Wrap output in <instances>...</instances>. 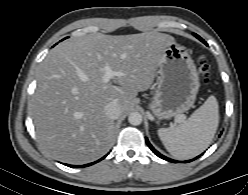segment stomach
Masks as SVG:
<instances>
[{
    "label": "stomach",
    "mask_w": 248,
    "mask_h": 195,
    "mask_svg": "<svg viewBox=\"0 0 248 195\" xmlns=\"http://www.w3.org/2000/svg\"><path fill=\"white\" fill-rule=\"evenodd\" d=\"M159 82L149 104L154 116L170 119L189 110L200 86L194 61L183 46L172 43L166 46L159 65Z\"/></svg>",
    "instance_id": "0dacf381"
}]
</instances>
